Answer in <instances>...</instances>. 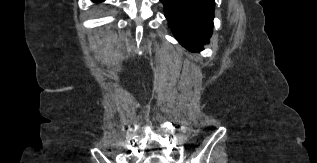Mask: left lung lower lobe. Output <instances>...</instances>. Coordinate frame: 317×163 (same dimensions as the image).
I'll use <instances>...</instances> for the list:
<instances>
[{"mask_svg":"<svg viewBox=\"0 0 317 163\" xmlns=\"http://www.w3.org/2000/svg\"><path fill=\"white\" fill-rule=\"evenodd\" d=\"M177 40L188 50L203 49L212 35L214 0H160Z\"/></svg>","mask_w":317,"mask_h":163,"instance_id":"obj_1","label":"left lung lower lobe"}]
</instances>
